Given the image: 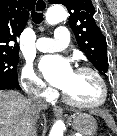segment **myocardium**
Returning <instances> with one entry per match:
<instances>
[{
  "mask_svg": "<svg viewBox=\"0 0 117 136\" xmlns=\"http://www.w3.org/2000/svg\"><path fill=\"white\" fill-rule=\"evenodd\" d=\"M76 72H89L91 73L98 81L100 89H101V96L98 101L93 102V103H82V102H77L73 100L71 97L67 95V93L64 91L63 92V99L66 103L69 105L79 108V109H96L101 106H103L108 98V88L107 84L103 78V76L100 74L99 71L96 69L89 67V66H79L75 70Z\"/></svg>",
  "mask_w": 117,
  "mask_h": 136,
  "instance_id": "f54148a6",
  "label": "myocardium"
}]
</instances>
